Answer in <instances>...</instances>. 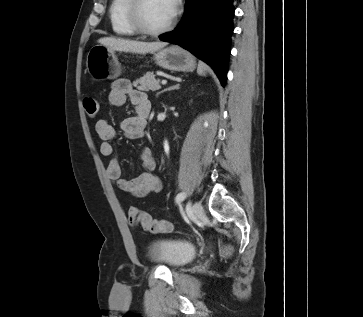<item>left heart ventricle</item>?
<instances>
[{
	"instance_id": "1",
	"label": "left heart ventricle",
	"mask_w": 363,
	"mask_h": 317,
	"mask_svg": "<svg viewBox=\"0 0 363 317\" xmlns=\"http://www.w3.org/2000/svg\"><path fill=\"white\" fill-rule=\"evenodd\" d=\"M173 13L168 0H144L140 17L145 27L155 30L163 27Z\"/></svg>"
}]
</instances>
